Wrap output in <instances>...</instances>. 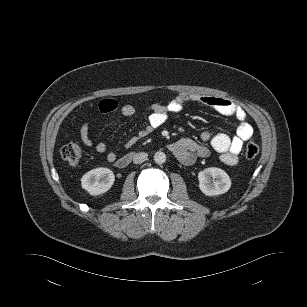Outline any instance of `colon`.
Segmentation results:
<instances>
[{
    "instance_id": "colon-1",
    "label": "colon",
    "mask_w": 307,
    "mask_h": 307,
    "mask_svg": "<svg viewBox=\"0 0 307 307\" xmlns=\"http://www.w3.org/2000/svg\"><path fill=\"white\" fill-rule=\"evenodd\" d=\"M258 153H259V146L256 143L249 142L246 145L245 156L248 159L255 158L258 155ZM81 155H82L81 148L76 143H69L63 146L61 149V157L70 164H77L81 159Z\"/></svg>"
}]
</instances>
